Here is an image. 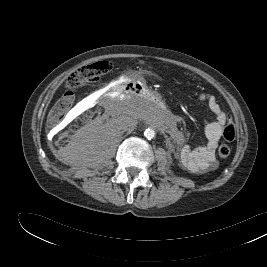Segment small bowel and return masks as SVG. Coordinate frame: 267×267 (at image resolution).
Wrapping results in <instances>:
<instances>
[{"label": "small bowel", "instance_id": "obj_1", "mask_svg": "<svg viewBox=\"0 0 267 267\" xmlns=\"http://www.w3.org/2000/svg\"><path fill=\"white\" fill-rule=\"evenodd\" d=\"M198 100L201 104L207 106L214 115L215 120L209 123L205 128L207 137V144L205 146L196 148L184 146L178 153L180 162L189 171L194 173L212 170L217 166L215 151L223 135L224 127L229 120L228 115L221 109L215 96L202 93L199 95ZM170 122L172 121L170 120ZM173 132L175 136H177V132Z\"/></svg>", "mask_w": 267, "mask_h": 267}]
</instances>
